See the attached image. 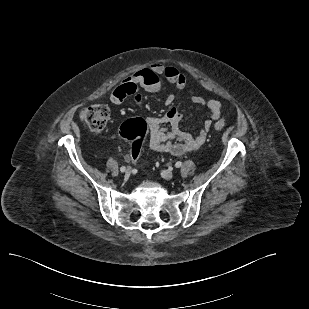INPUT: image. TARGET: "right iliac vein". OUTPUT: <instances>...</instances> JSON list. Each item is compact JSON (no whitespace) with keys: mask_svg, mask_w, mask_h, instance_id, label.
I'll list each match as a JSON object with an SVG mask.
<instances>
[{"mask_svg":"<svg viewBox=\"0 0 309 309\" xmlns=\"http://www.w3.org/2000/svg\"><path fill=\"white\" fill-rule=\"evenodd\" d=\"M131 168L130 167H128L126 170H125V176L126 177H129L130 176V174H131Z\"/></svg>","mask_w":309,"mask_h":309,"instance_id":"63e3f726","label":"right iliac vein"}]
</instances>
